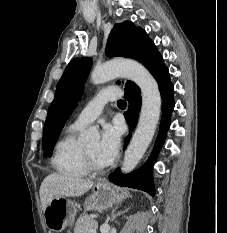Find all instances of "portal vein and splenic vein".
<instances>
[{
	"label": "portal vein and splenic vein",
	"mask_w": 227,
	"mask_h": 233,
	"mask_svg": "<svg viewBox=\"0 0 227 233\" xmlns=\"http://www.w3.org/2000/svg\"><path fill=\"white\" fill-rule=\"evenodd\" d=\"M90 231H91V232H94V230H93V229H90Z\"/></svg>",
	"instance_id": "1"
}]
</instances>
